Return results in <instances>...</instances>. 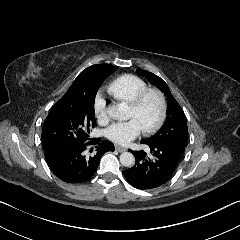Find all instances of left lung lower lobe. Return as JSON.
Returning <instances> with one entry per match:
<instances>
[{"label": "left lung lower lobe", "mask_w": 240, "mask_h": 240, "mask_svg": "<svg viewBox=\"0 0 240 240\" xmlns=\"http://www.w3.org/2000/svg\"><path fill=\"white\" fill-rule=\"evenodd\" d=\"M148 146L153 157L148 158L143 150H129L136 158L135 166L123 171L127 181L141 190L165 184L173 175L183 153L172 147Z\"/></svg>", "instance_id": "0a47b994"}]
</instances>
